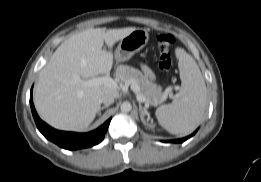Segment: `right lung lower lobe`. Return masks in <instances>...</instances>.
I'll list each match as a JSON object with an SVG mask.
<instances>
[{"label":"right lung lower lobe","mask_w":261,"mask_h":182,"mask_svg":"<svg viewBox=\"0 0 261 182\" xmlns=\"http://www.w3.org/2000/svg\"><path fill=\"white\" fill-rule=\"evenodd\" d=\"M30 105L39 131L50 141L68 150L87 148L100 143L104 139L105 133L111 121V118L108 119L99 128L89 133L63 132L53 129L39 118L32 100V89L30 92Z\"/></svg>","instance_id":"right-lung-lower-lobe-1"}]
</instances>
